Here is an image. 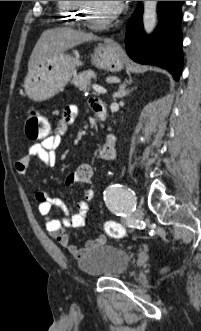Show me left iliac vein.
<instances>
[{"label": "left iliac vein", "instance_id": "4c4485c4", "mask_svg": "<svg viewBox=\"0 0 201 331\" xmlns=\"http://www.w3.org/2000/svg\"><path fill=\"white\" fill-rule=\"evenodd\" d=\"M133 218L136 221H142V219H143V209H142L141 205H138L136 207V210L133 213Z\"/></svg>", "mask_w": 201, "mask_h": 331}]
</instances>
